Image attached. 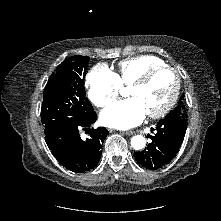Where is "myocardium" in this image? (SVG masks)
Listing matches in <instances>:
<instances>
[{"label": "myocardium", "instance_id": "myocardium-1", "mask_svg": "<svg viewBox=\"0 0 221 221\" xmlns=\"http://www.w3.org/2000/svg\"><path fill=\"white\" fill-rule=\"evenodd\" d=\"M168 70L173 73L175 77V86L172 92V95L168 102L159 110L147 113V115L150 118H160L165 116L168 112L171 111V109L175 106L181 89V77L179 75V72L176 68L170 66V65H159L153 68H150L147 70L144 74H142L137 80H135L130 86L131 87H142L145 86L147 83L150 82V80L159 72Z\"/></svg>", "mask_w": 221, "mask_h": 221}]
</instances>
